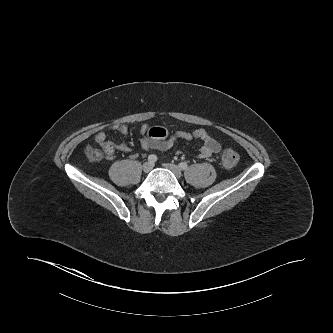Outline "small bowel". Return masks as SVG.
<instances>
[{
    "mask_svg": "<svg viewBox=\"0 0 333 333\" xmlns=\"http://www.w3.org/2000/svg\"><path fill=\"white\" fill-rule=\"evenodd\" d=\"M147 127H141V133L143 137L141 139V146L146 151L158 150L168 151L173 147L174 141L177 138H182L187 141L199 140L202 142V146L198 151V157L201 159H207L217 154L221 150L220 143L210 136L204 129H197L193 132L176 131L172 133L168 138L162 140L151 139L145 136ZM113 131L119 132L123 135L128 134L129 129L126 125L117 124L112 127ZM94 143L99 145L104 150V156L106 159H112L116 150L121 152H129L130 148L126 144H115L107 139V133L105 131L98 132L94 136Z\"/></svg>",
    "mask_w": 333,
    "mask_h": 333,
    "instance_id": "obj_1",
    "label": "small bowel"
}]
</instances>
